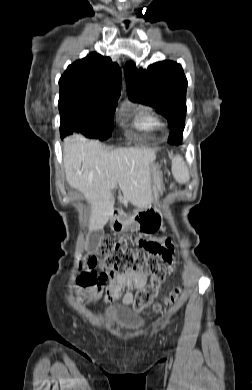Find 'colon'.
I'll return each mask as SVG.
<instances>
[{"label":"colon","instance_id":"5ec220e1","mask_svg":"<svg viewBox=\"0 0 252 390\" xmlns=\"http://www.w3.org/2000/svg\"><path fill=\"white\" fill-rule=\"evenodd\" d=\"M141 224H144L143 232L145 234H151L155 231L148 223L142 221ZM150 248L151 243L146 238H140L137 247L131 248L125 241L106 235L100 240L96 255L88 262V267L92 268L98 258L108 271L115 273L139 272L144 275H149V284L139 289L134 296L133 307L138 312L152 302L167 276V271L161 267L156 258L157 255L149 251ZM107 277L108 273L99 275L95 272H88L79 278V285L82 287H90L95 293H100L101 281ZM178 294V289L172 291L163 303L155 305V310L161 311L164 305L169 306L173 304Z\"/></svg>","mask_w":252,"mask_h":390}]
</instances>
